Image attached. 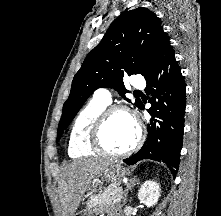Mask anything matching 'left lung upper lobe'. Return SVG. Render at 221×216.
Returning a JSON list of instances; mask_svg holds the SVG:
<instances>
[{
  "instance_id": "obj_1",
  "label": "left lung upper lobe",
  "mask_w": 221,
  "mask_h": 216,
  "mask_svg": "<svg viewBox=\"0 0 221 216\" xmlns=\"http://www.w3.org/2000/svg\"><path fill=\"white\" fill-rule=\"evenodd\" d=\"M142 40L144 43L140 45ZM168 41L159 18L147 8L139 7L120 15L74 76L70 95L63 106L56 141L98 88H114L125 97L128 90L124 86V75L140 73L145 76ZM141 104L137 99L135 105L140 107Z\"/></svg>"
}]
</instances>
